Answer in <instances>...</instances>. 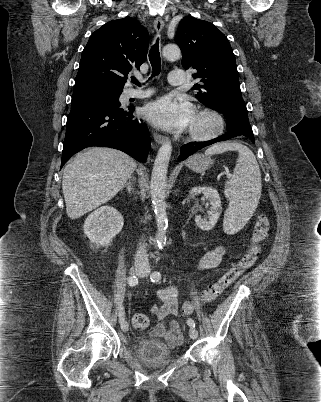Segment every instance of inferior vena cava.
<instances>
[{
  "mask_svg": "<svg viewBox=\"0 0 321 402\" xmlns=\"http://www.w3.org/2000/svg\"><path fill=\"white\" fill-rule=\"evenodd\" d=\"M135 266L143 267V268L149 267L148 257H147L146 248H145L144 244H140V246L136 252Z\"/></svg>",
  "mask_w": 321,
  "mask_h": 402,
  "instance_id": "obj_1",
  "label": "inferior vena cava"
}]
</instances>
